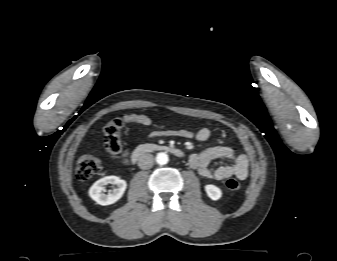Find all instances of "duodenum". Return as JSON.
Listing matches in <instances>:
<instances>
[{"instance_id": "obj_1", "label": "duodenum", "mask_w": 337, "mask_h": 261, "mask_svg": "<svg viewBox=\"0 0 337 261\" xmlns=\"http://www.w3.org/2000/svg\"><path fill=\"white\" fill-rule=\"evenodd\" d=\"M154 152H165L173 154L177 157H183L184 153L181 149L165 144H143L137 147L130 157L131 163L135 164L145 155L154 153Z\"/></svg>"}]
</instances>
